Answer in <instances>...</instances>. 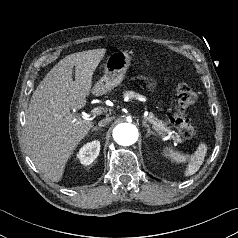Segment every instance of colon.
<instances>
[{"label":"colon","instance_id":"5ec220e1","mask_svg":"<svg viewBox=\"0 0 238 238\" xmlns=\"http://www.w3.org/2000/svg\"><path fill=\"white\" fill-rule=\"evenodd\" d=\"M177 108L171 118V123L176 127L179 134L186 139L196 135V126L187 117V109L196 101V93L187 84H180L176 90Z\"/></svg>","mask_w":238,"mask_h":238}]
</instances>
